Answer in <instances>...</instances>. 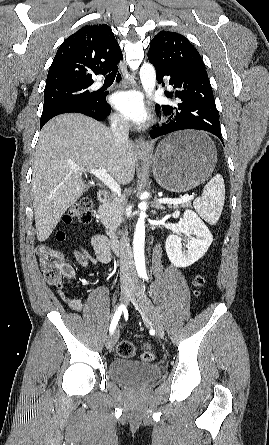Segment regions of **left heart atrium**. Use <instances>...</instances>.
<instances>
[{
  "label": "left heart atrium",
  "instance_id": "left-heart-atrium-1",
  "mask_svg": "<svg viewBox=\"0 0 269 445\" xmlns=\"http://www.w3.org/2000/svg\"><path fill=\"white\" fill-rule=\"evenodd\" d=\"M112 103L129 120L141 122L146 113L140 96L131 91H119L112 97Z\"/></svg>",
  "mask_w": 269,
  "mask_h": 445
}]
</instances>
